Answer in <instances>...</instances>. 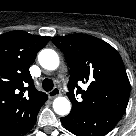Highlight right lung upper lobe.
Here are the masks:
<instances>
[{
	"label": "right lung upper lobe",
	"mask_w": 136,
	"mask_h": 136,
	"mask_svg": "<svg viewBox=\"0 0 136 136\" xmlns=\"http://www.w3.org/2000/svg\"><path fill=\"white\" fill-rule=\"evenodd\" d=\"M50 40L24 31L0 35V136H19L47 100L29 73L36 54Z\"/></svg>",
	"instance_id": "cb5924a9"
}]
</instances>
